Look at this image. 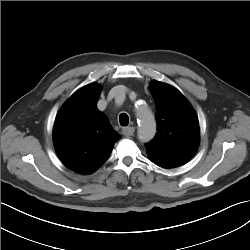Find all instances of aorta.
Instances as JSON below:
<instances>
[{"label":"aorta","instance_id":"762f6f07","mask_svg":"<svg viewBox=\"0 0 250 250\" xmlns=\"http://www.w3.org/2000/svg\"><path fill=\"white\" fill-rule=\"evenodd\" d=\"M139 120L138 138L141 142H149L156 133V123L152 112L145 104L137 108Z\"/></svg>","mask_w":250,"mask_h":250}]
</instances>
